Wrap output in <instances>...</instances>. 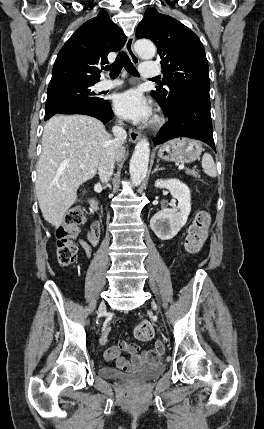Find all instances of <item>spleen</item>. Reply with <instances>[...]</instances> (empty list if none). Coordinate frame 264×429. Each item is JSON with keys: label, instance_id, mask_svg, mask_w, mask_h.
I'll list each match as a JSON object with an SVG mask.
<instances>
[{"label": "spleen", "instance_id": "1", "mask_svg": "<svg viewBox=\"0 0 264 429\" xmlns=\"http://www.w3.org/2000/svg\"><path fill=\"white\" fill-rule=\"evenodd\" d=\"M202 167L205 174L210 177H216L217 170L212 156L209 153H205L202 157Z\"/></svg>", "mask_w": 264, "mask_h": 429}]
</instances>
